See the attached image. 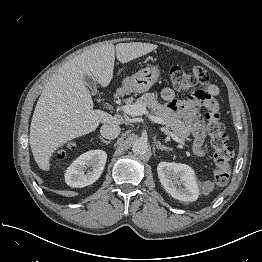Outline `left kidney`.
Masks as SVG:
<instances>
[{"label": "left kidney", "mask_w": 262, "mask_h": 262, "mask_svg": "<svg viewBox=\"0 0 262 262\" xmlns=\"http://www.w3.org/2000/svg\"><path fill=\"white\" fill-rule=\"evenodd\" d=\"M158 177L165 191L174 199L196 201L199 188L194 170L181 163L161 162L157 166Z\"/></svg>", "instance_id": "left-kidney-1"}]
</instances>
